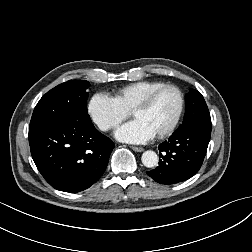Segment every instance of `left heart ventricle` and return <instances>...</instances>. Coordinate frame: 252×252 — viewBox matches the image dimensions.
Listing matches in <instances>:
<instances>
[{
    "instance_id": "b2bd125f",
    "label": "left heart ventricle",
    "mask_w": 252,
    "mask_h": 252,
    "mask_svg": "<svg viewBox=\"0 0 252 252\" xmlns=\"http://www.w3.org/2000/svg\"><path fill=\"white\" fill-rule=\"evenodd\" d=\"M178 105L177 93L165 90L156 96L148 108L134 112L132 117L144 122L156 135L172 123Z\"/></svg>"
}]
</instances>
